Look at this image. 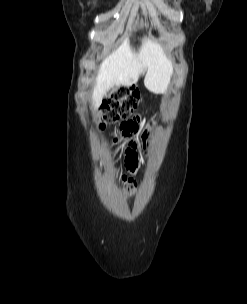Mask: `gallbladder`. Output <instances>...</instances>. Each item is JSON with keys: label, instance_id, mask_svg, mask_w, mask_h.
Wrapping results in <instances>:
<instances>
[{"label": "gallbladder", "instance_id": "bac80fb5", "mask_svg": "<svg viewBox=\"0 0 247 304\" xmlns=\"http://www.w3.org/2000/svg\"><path fill=\"white\" fill-rule=\"evenodd\" d=\"M114 91V88H110L106 91V95H111V93Z\"/></svg>", "mask_w": 247, "mask_h": 304}]
</instances>
